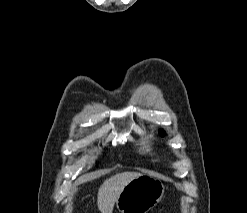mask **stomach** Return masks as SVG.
Listing matches in <instances>:
<instances>
[{"instance_id": "1", "label": "stomach", "mask_w": 247, "mask_h": 213, "mask_svg": "<svg viewBox=\"0 0 247 213\" xmlns=\"http://www.w3.org/2000/svg\"><path fill=\"white\" fill-rule=\"evenodd\" d=\"M163 183L148 175H141L129 182L116 200L120 213H147L164 195Z\"/></svg>"}]
</instances>
